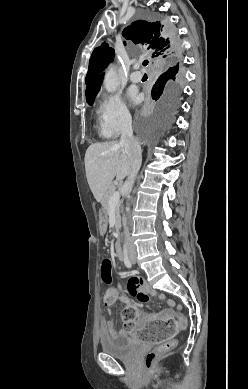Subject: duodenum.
Masks as SVG:
<instances>
[{
    "mask_svg": "<svg viewBox=\"0 0 248 389\" xmlns=\"http://www.w3.org/2000/svg\"><path fill=\"white\" fill-rule=\"evenodd\" d=\"M115 253H116V257L119 260H122L124 258V253H123V250H122V247H121V243H120L119 240L115 244Z\"/></svg>",
    "mask_w": 248,
    "mask_h": 389,
    "instance_id": "duodenum-1",
    "label": "duodenum"
}]
</instances>
